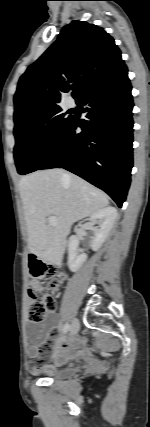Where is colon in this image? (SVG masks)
Here are the masks:
<instances>
[{"label": "colon", "mask_w": 150, "mask_h": 427, "mask_svg": "<svg viewBox=\"0 0 150 427\" xmlns=\"http://www.w3.org/2000/svg\"><path fill=\"white\" fill-rule=\"evenodd\" d=\"M29 270L32 280L28 287V318L31 322L39 323L49 312H55L58 304L52 295L60 283L61 275L57 268L39 259L33 252L29 253ZM43 280L48 285L43 284Z\"/></svg>", "instance_id": "1"}]
</instances>
